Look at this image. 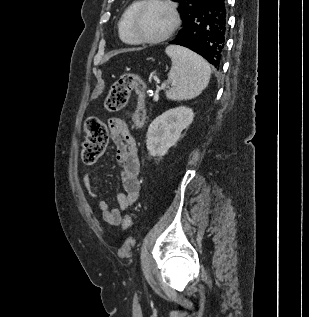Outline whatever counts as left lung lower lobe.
<instances>
[{
	"label": "left lung lower lobe",
	"mask_w": 309,
	"mask_h": 317,
	"mask_svg": "<svg viewBox=\"0 0 309 317\" xmlns=\"http://www.w3.org/2000/svg\"><path fill=\"white\" fill-rule=\"evenodd\" d=\"M227 20V0H205L183 20V28L169 43L187 47L219 68L226 44Z\"/></svg>",
	"instance_id": "1"
}]
</instances>
